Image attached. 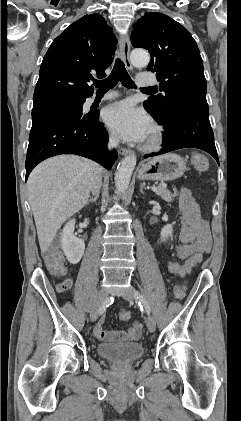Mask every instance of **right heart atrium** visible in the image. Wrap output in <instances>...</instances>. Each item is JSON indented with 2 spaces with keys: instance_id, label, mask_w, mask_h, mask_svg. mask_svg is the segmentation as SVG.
<instances>
[{
  "instance_id": "right-heart-atrium-1",
  "label": "right heart atrium",
  "mask_w": 241,
  "mask_h": 421,
  "mask_svg": "<svg viewBox=\"0 0 241 421\" xmlns=\"http://www.w3.org/2000/svg\"><path fill=\"white\" fill-rule=\"evenodd\" d=\"M111 141L112 142H115V138L113 136L111 137Z\"/></svg>"
}]
</instances>
